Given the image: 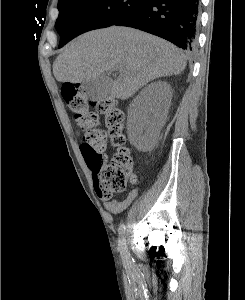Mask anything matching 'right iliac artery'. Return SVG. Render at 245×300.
Segmentation results:
<instances>
[{
	"mask_svg": "<svg viewBox=\"0 0 245 300\" xmlns=\"http://www.w3.org/2000/svg\"><path fill=\"white\" fill-rule=\"evenodd\" d=\"M125 231L126 226L124 223H121L118 232H119V238H118V250L120 251L121 255L124 257L127 256V245H126V239H125Z\"/></svg>",
	"mask_w": 245,
	"mask_h": 300,
	"instance_id": "82829eb1",
	"label": "right iliac artery"
}]
</instances>
